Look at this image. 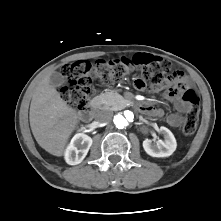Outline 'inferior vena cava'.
Wrapping results in <instances>:
<instances>
[{"mask_svg": "<svg viewBox=\"0 0 221 221\" xmlns=\"http://www.w3.org/2000/svg\"><path fill=\"white\" fill-rule=\"evenodd\" d=\"M112 118V112L109 110H100L96 113V120L101 123L109 122Z\"/></svg>", "mask_w": 221, "mask_h": 221, "instance_id": "602c4592", "label": "inferior vena cava"}]
</instances>
